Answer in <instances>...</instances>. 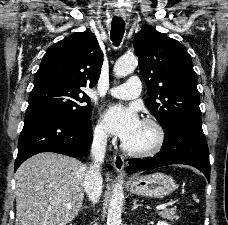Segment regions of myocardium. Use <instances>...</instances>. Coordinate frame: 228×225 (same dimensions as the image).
Returning <instances> with one entry per match:
<instances>
[{
    "label": "myocardium",
    "mask_w": 228,
    "mask_h": 225,
    "mask_svg": "<svg viewBox=\"0 0 228 225\" xmlns=\"http://www.w3.org/2000/svg\"><path fill=\"white\" fill-rule=\"evenodd\" d=\"M143 124L151 127L156 134V142L152 147L149 148H134L130 146L127 142L123 143V150L134 156L149 157L158 154L164 147L166 141V134L163 126L160 122L152 118H146L143 120Z\"/></svg>",
    "instance_id": "myocardium-1"
}]
</instances>
